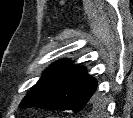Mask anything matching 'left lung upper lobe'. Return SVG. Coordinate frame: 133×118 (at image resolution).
<instances>
[{"label": "left lung upper lobe", "instance_id": "obj_1", "mask_svg": "<svg viewBox=\"0 0 133 118\" xmlns=\"http://www.w3.org/2000/svg\"><path fill=\"white\" fill-rule=\"evenodd\" d=\"M96 87V79L88 75L85 67L69 66L68 60H59L46 69L19 108L38 107L78 113L88 104Z\"/></svg>", "mask_w": 133, "mask_h": 118}]
</instances>
